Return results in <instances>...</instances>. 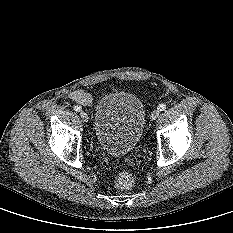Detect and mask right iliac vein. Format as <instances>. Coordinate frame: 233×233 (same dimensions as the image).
<instances>
[{"label": "right iliac vein", "mask_w": 233, "mask_h": 233, "mask_svg": "<svg viewBox=\"0 0 233 233\" xmlns=\"http://www.w3.org/2000/svg\"><path fill=\"white\" fill-rule=\"evenodd\" d=\"M80 116H81V118H82V120H83L84 122H88L89 117H88V115H87L86 112L81 111V112H80Z\"/></svg>", "instance_id": "63e3f726"}]
</instances>
